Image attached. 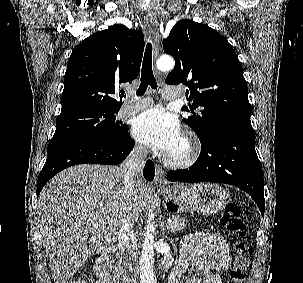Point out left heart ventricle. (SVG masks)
I'll list each match as a JSON object with an SVG mask.
<instances>
[{"mask_svg": "<svg viewBox=\"0 0 303 283\" xmlns=\"http://www.w3.org/2000/svg\"><path fill=\"white\" fill-rule=\"evenodd\" d=\"M184 151V144L183 141L181 139V141L179 142V144L176 146V148L174 150H172L169 154L171 155H179Z\"/></svg>", "mask_w": 303, "mask_h": 283, "instance_id": "b2bd125f", "label": "left heart ventricle"}]
</instances>
